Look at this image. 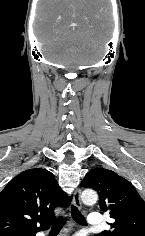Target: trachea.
Listing matches in <instances>:
<instances>
[{"mask_svg": "<svg viewBox=\"0 0 145 236\" xmlns=\"http://www.w3.org/2000/svg\"><path fill=\"white\" fill-rule=\"evenodd\" d=\"M71 215L72 218L80 225H87L86 220L84 216L81 214V212L78 210L77 207L72 206L71 207ZM66 223V218L64 217H59L54 220L52 229H61L63 225Z\"/></svg>", "mask_w": 145, "mask_h": 236, "instance_id": "trachea-1", "label": "trachea"}]
</instances>
